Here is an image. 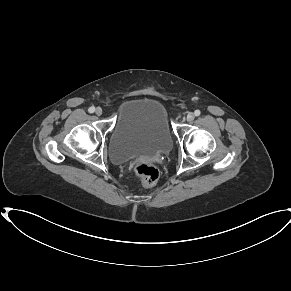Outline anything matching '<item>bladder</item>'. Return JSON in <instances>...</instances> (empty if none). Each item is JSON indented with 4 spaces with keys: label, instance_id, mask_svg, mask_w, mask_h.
Masks as SVG:
<instances>
[{
    "label": "bladder",
    "instance_id": "obj_1",
    "mask_svg": "<svg viewBox=\"0 0 291 291\" xmlns=\"http://www.w3.org/2000/svg\"><path fill=\"white\" fill-rule=\"evenodd\" d=\"M173 135L165 103L152 96L128 99L109 136V157L123 163L139 156L168 152Z\"/></svg>",
    "mask_w": 291,
    "mask_h": 291
}]
</instances>
